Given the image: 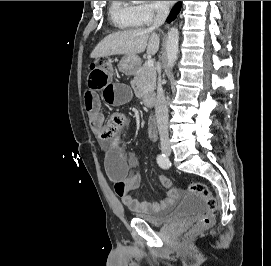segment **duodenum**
Here are the masks:
<instances>
[{"instance_id":"obj_1","label":"duodenum","mask_w":271,"mask_h":266,"mask_svg":"<svg viewBox=\"0 0 271 266\" xmlns=\"http://www.w3.org/2000/svg\"><path fill=\"white\" fill-rule=\"evenodd\" d=\"M144 99L147 104L151 105V104H154L156 97L154 94H149V95L144 96Z\"/></svg>"}]
</instances>
